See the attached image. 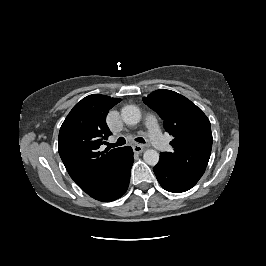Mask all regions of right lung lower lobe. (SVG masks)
Wrapping results in <instances>:
<instances>
[{
    "label": "right lung lower lobe",
    "instance_id": "right-lung-lower-lobe-1",
    "mask_svg": "<svg viewBox=\"0 0 266 266\" xmlns=\"http://www.w3.org/2000/svg\"><path fill=\"white\" fill-rule=\"evenodd\" d=\"M133 161L132 148L129 146L124 147L107 187L94 199L109 202L120 198L128 188Z\"/></svg>",
    "mask_w": 266,
    "mask_h": 266
}]
</instances>
